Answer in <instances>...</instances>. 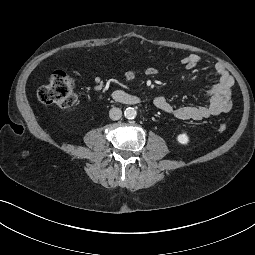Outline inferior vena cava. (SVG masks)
I'll return each instance as SVG.
<instances>
[{"instance_id":"602c4592","label":"inferior vena cava","mask_w":255,"mask_h":255,"mask_svg":"<svg viewBox=\"0 0 255 255\" xmlns=\"http://www.w3.org/2000/svg\"><path fill=\"white\" fill-rule=\"evenodd\" d=\"M121 116H122V111L119 108L114 107L109 111V117L112 120H119Z\"/></svg>"}]
</instances>
